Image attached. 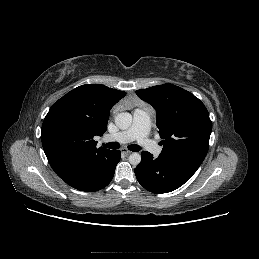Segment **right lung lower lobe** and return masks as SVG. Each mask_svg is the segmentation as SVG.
<instances>
[{
  "mask_svg": "<svg viewBox=\"0 0 259 259\" xmlns=\"http://www.w3.org/2000/svg\"><path fill=\"white\" fill-rule=\"evenodd\" d=\"M120 154L119 150H111L104 156L74 165L59 177L75 189L98 191L111 182Z\"/></svg>",
  "mask_w": 259,
  "mask_h": 259,
  "instance_id": "1",
  "label": "right lung lower lobe"
}]
</instances>
